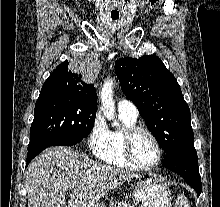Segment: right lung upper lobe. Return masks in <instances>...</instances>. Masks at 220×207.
Listing matches in <instances>:
<instances>
[{
	"instance_id": "1",
	"label": "right lung upper lobe",
	"mask_w": 220,
	"mask_h": 207,
	"mask_svg": "<svg viewBox=\"0 0 220 207\" xmlns=\"http://www.w3.org/2000/svg\"><path fill=\"white\" fill-rule=\"evenodd\" d=\"M81 78L80 74L70 70L68 61H64L47 78L41 92L71 93L97 102L93 84L86 83Z\"/></svg>"
}]
</instances>
